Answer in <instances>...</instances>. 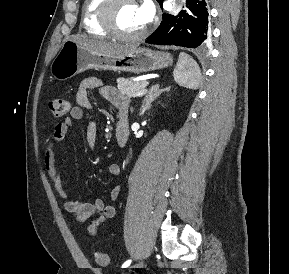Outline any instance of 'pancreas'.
Returning a JSON list of instances; mask_svg holds the SVG:
<instances>
[{"instance_id": "cf45deb5", "label": "pancreas", "mask_w": 289, "mask_h": 274, "mask_svg": "<svg viewBox=\"0 0 289 274\" xmlns=\"http://www.w3.org/2000/svg\"><path fill=\"white\" fill-rule=\"evenodd\" d=\"M147 86V81H131L129 79L120 78L117 80L119 92L127 98L135 97L136 94L144 90Z\"/></svg>"}]
</instances>
